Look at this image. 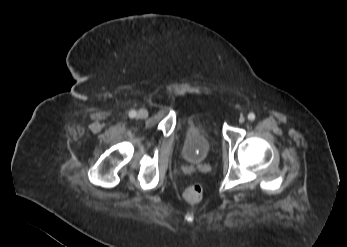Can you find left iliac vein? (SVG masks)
<instances>
[{
	"instance_id": "left-iliac-vein-1",
	"label": "left iliac vein",
	"mask_w": 347,
	"mask_h": 247,
	"mask_svg": "<svg viewBox=\"0 0 347 247\" xmlns=\"http://www.w3.org/2000/svg\"><path fill=\"white\" fill-rule=\"evenodd\" d=\"M239 122H240V123H244V122H245V118H244L243 116H241V117L239 118Z\"/></svg>"
}]
</instances>
